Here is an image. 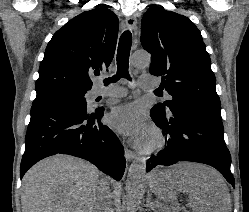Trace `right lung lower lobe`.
I'll return each instance as SVG.
<instances>
[{
	"instance_id": "obj_1",
	"label": "right lung lower lobe",
	"mask_w": 249,
	"mask_h": 212,
	"mask_svg": "<svg viewBox=\"0 0 249 212\" xmlns=\"http://www.w3.org/2000/svg\"><path fill=\"white\" fill-rule=\"evenodd\" d=\"M103 111L72 104L32 105L20 178L45 157L69 154L120 180L125 169L124 149L115 133L100 122Z\"/></svg>"
}]
</instances>
